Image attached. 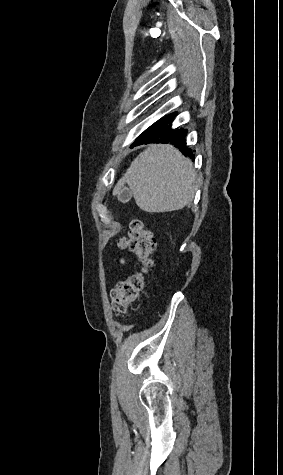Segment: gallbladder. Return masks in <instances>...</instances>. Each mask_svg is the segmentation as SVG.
Segmentation results:
<instances>
[{
    "label": "gallbladder",
    "mask_w": 283,
    "mask_h": 475,
    "mask_svg": "<svg viewBox=\"0 0 283 475\" xmlns=\"http://www.w3.org/2000/svg\"><path fill=\"white\" fill-rule=\"evenodd\" d=\"M132 198V192L128 190V188H124V190H121L120 194H118V200L119 202H123V204H126V202H129Z\"/></svg>",
    "instance_id": "bac80fb5"
}]
</instances>
